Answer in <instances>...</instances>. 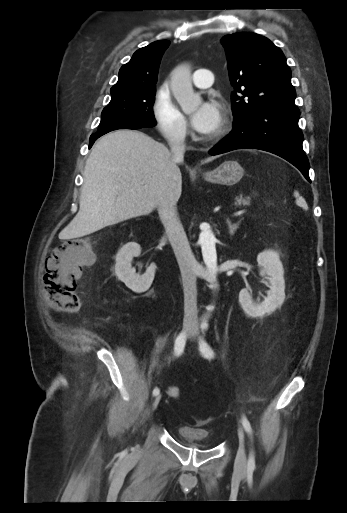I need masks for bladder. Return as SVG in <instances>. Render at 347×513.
I'll list each match as a JSON object with an SVG mask.
<instances>
[{
  "mask_svg": "<svg viewBox=\"0 0 347 513\" xmlns=\"http://www.w3.org/2000/svg\"><path fill=\"white\" fill-rule=\"evenodd\" d=\"M179 437L181 441L192 447L202 450H212L218 443L210 437L209 431L204 428L185 425L179 428Z\"/></svg>",
  "mask_w": 347,
  "mask_h": 513,
  "instance_id": "bladder-1",
  "label": "bladder"
}]
</instances>
